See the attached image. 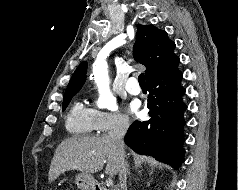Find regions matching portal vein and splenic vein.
<instances>
[{
  "instance_id": "1",
  "label": "portal vein and splenic vein",
  "mask_w": 238,
  "mask_h": 190,
  "mask_svg": "<svg viewBox=\"0 0 238 190\" xmlns=\"http://www.w3.org/2000/svg\"><path fill=\"white\" fill-rule=\"evenodd\" d=\"M106 184H107V186L112 185V184H113V180H112V179H108V180L106 181Z\"/></svg>"
}]
</instances>
